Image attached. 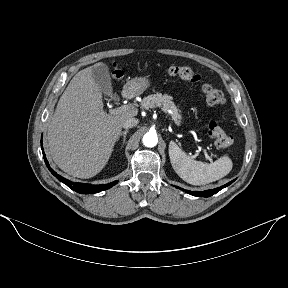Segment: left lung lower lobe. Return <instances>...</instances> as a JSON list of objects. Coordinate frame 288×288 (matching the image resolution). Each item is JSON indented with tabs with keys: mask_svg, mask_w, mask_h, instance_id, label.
<instances>
[{
	"mask_svg": "<svg viewBox=\"0 0 288 288\" xmlns=\"http://www.w3.org/2000/svg\"><path fill=\"white\" fill-rule=\"evenodd\" d=\"M234 181V180H233ZM233 181L219 187V188H215V189H211V190H206V191H202V192H197V191H187L189 194L193 195V196H198V197H210L213 194L219 192L221 189L227 187L228 185H230ZM181 189V188H180Z\"/></svg>",
	"mask_w": 288,
	"mask_h": 288,
	"instance_id": "1",
	"label": "left lung lower lobe"
}]
</instances>
